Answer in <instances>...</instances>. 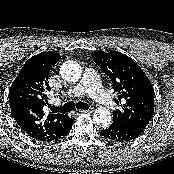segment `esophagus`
I'll return each mask as SVG.
<instances>
[{"instance_id": "esophagus-1", "label": "esophagus", "mask_w": 174, "mask_h": 174, "mask_svg": "<svg viewBox=\"0 0 174 174\" xmlns=\"http://www.w3.org/2000/svg\"><path fill=\"white\" fill-rule=\"evenodd\" d=\"M80 113H91L93 112V109H88V110H79Z\"/></svg>"}]
</instances>
